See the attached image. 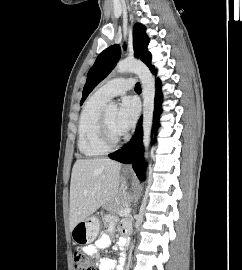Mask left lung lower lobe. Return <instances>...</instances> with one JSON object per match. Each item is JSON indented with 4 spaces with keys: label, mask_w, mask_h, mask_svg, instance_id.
Masks as SVG:
<instances>
[{
    "label": "left lung lower lobe",
    "mask_w": 242,
    "mask_h": 270,
    "mask_svg": "<svg viewBox=\"0 0 242 270\" xmlns=\"http://www.w3.org/2000/svg\"><path fill=\"white\" fill-rule=\"evenodd\" d=\"M151 71H155L154 68ZM162 100V93H161V82L159 79L156 80V95H155V111H154V122L155 127H158L157 117L161 112L160 103ZM142 125L141 119L137 126L135 135L133 138L128 142V145L124 148L109 154V157L117 160L121 163H132V167L136 172V175L139 179H143V172L145 168V163L143 159V145H142Z\"/></svg>",
    "instance_id": "0a47b994"
}]
</instances>
